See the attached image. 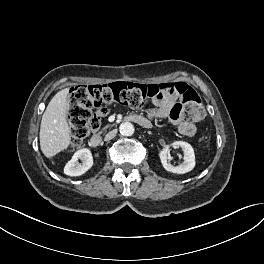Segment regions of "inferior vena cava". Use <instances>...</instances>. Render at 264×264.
Listing matches in <instances>:
<instances>
[{
    "label": "inferior vena cava",
    "instance_id": "obj_1",
    "mask_svg": "<svg viewBox=\"0 0 264 264\" xmlns=\"http://www.w3.org/2000/svg\"><path fill=\"white\" fill-rule=\"evenodd\" d=\"M117 134V130H112L109 133L106 134L104 140L105 141H110L111 139H113Z\"/></svg>",
    "mask_w": 264,
    "mask_h": 264
}]
</instances>
